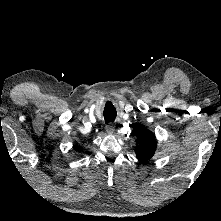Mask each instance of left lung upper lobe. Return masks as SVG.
Listing matches in <instances>:
<instances>
[{"instance_id":"obj_1","label":"left lung upper lobe","mask_w":221,"mask_h":221,"mask_svg":"<svg viewBox=\"0 0 221 221\" xmlns=\"http://www.w3.org/2000/svg\"><path fill=\"white\" fill-rule=\"evenodd\" d=\"M136 140V156L142 163H147L156 150V140L154 134L143 126H136L133 129Z\"/></svg>"}]
</instances>
